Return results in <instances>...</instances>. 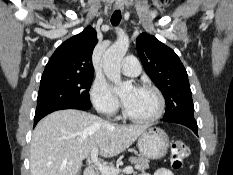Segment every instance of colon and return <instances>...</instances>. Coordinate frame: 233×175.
I'll return each instance as SVG.
<instances>
[{"label":"colon","mask_w":233,"mask_h":175,"mask_svg":"<svg viewBox=\"0 0 233 175\" xmlns=\"http://www.w3.org/2000/svg\"><path fill=\"white\" fill-rule=\"evenodd\" d=\"M188 145L181 140L174 141L171 146V165L174 169H180L183 166L184 159L189 154Z\"/></svg>","instance_id":"5ec220e1"}]
</instances>
